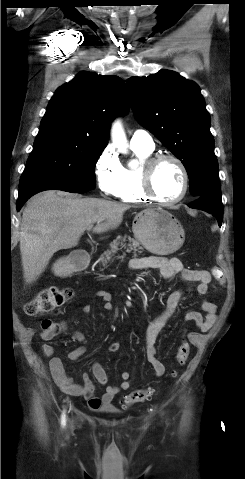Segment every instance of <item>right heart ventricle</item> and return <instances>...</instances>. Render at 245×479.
<instances>
[{"mask_svg": "<svg viewBox=\"0 0 245 479\" xmlns=\"http://www.w3.org/2000/svg\"><path fill=\"white\" fill-rule=\"evenodd\" d=\"M132 149L139 159V164L136 167L122 168L121 182L116 196L121 201L128 203L147 202L150 199L141 189V168L143 163L152 155L153 150L134 146H132Z\"/></svg>", "mask_w": 245, "mask_h": 479, "instance_id": "e07e8e85", "label": "right heart ventricle"}]
</instances>
